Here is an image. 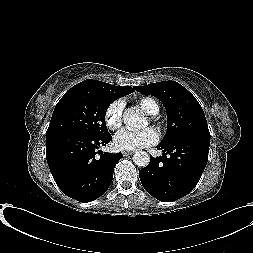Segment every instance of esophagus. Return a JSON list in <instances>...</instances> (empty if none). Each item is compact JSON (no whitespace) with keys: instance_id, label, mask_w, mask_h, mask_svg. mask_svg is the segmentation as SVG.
Here are the masks:
<instances>
[{"instance_id":"1","label":"esophagus","mask_w":253,"mask_h":253,"mask_svg":"<svg viewBox=\"0 0 253 253\" xmlns=\"http://www.w3.org/2000/svg\"><path fill=\"white\" fill-rule=\"evenodd\" d=\"M135 151H123L124 156L133 155Z\"/></svg>"}]
</instances>
